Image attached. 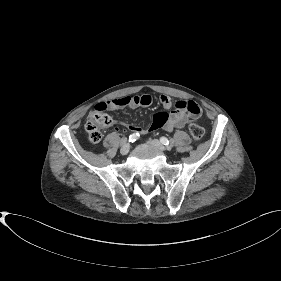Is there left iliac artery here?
<instances>
[{"instance_id": "1", "label": "left iliac artery", "mask_w": 281, "mask_h": 281, "mask_svg": "<svg viewBox=\"0 0 281 281\" xmlns=\"http://www.w3.org/2000/svg\"><path fill=\"white\" fill-rule=\"evenodd\" d=\"M160 142L164 145H167L168 147H172L173 146V142L168 140L166 137H161L160 138Z\"/></svg>"}]
</instances>
